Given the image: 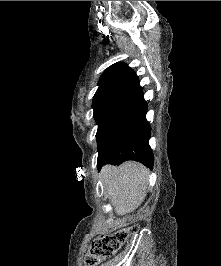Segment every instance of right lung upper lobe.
<instances>
[{
	"label": "right lung upper lobe",
	"instance_id": "cb5924a9",
	"mask_svg": "<svg viewBox=\"0 0 221 266\" xmlns=\"http://www.w3.org/2000/svg\"><path fill=\"white\" fill-rule=\"evenodd\" d=\"M98 86L97 91L122 86L140 87L136 73L122 62L108 67L100 77Z\"/></svg>",
	"mask_w": 221,
	"mask_h": 266
}]
</instances>
